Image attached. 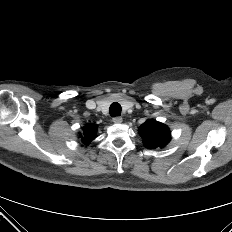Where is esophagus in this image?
<instances>
[{
    "mask_svg": "<svg viewBox=\"0 0 232 232\" xmlns=\"http://www.w3.org/2000/svg\"><path fill=\"white\" fill-rule=\"evenodd\" d=\"M112 121H113L114 123H116V124H120V123H122L123 119H122V117H114V118L112 119Z\"/></svg>",
    "mask_w": 232,
    "mask_h": 232,
    "instance_id": "obj_1",
    "label": "esophagus"
}]
</instances>
